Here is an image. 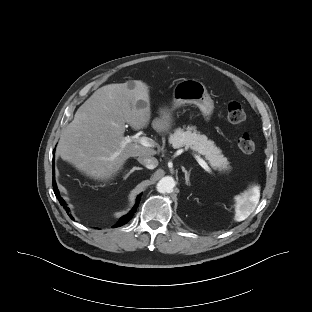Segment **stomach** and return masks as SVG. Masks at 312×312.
<instances>
[{"instance_id": "1", "label": "stomach", "mask_w": 312, "mask_h": 312, "mask_svg": "<svg viewBox=\"0 0 312 312\" xmlns=\"http://www.w3.org/2000/svg\"><path fill=\"white\" fill-rule=\"evenodd\" d=\"M184 104L196 105L207 120L210 119L214 110L213 100L205 85L195 79L181 80L173 89V109Z\"/></svg>"}]
</instances>
